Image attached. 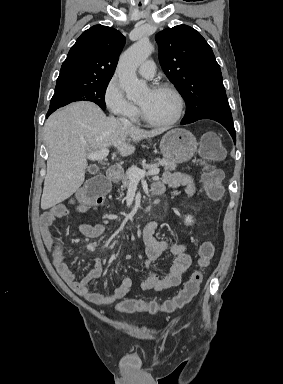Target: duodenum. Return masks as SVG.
<instances>
[{
  "instance_id": "duodenum-1",
  "label": "duodenum",
  "mask_w": 283,
  "mask_h": 384,
  "mask_svg": "<svg viewBox=\"0 0 283 384\" xmlns=\"http://www.w3.org/2000/svg\"><path fill=\"white\" fill-rule=\"evenodd\" d=\"M122 174H123V169L121 167L116 166V165H112V166H110V168L108 170L107 177H108V179L110 181L116 182V181L120 180ZM153 191L156 194H160L161 193V191L159 190L157 185L153 186Z\"/></svg>"
}]
</instances>
